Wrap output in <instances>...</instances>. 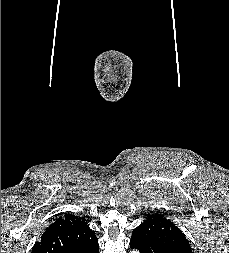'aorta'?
I'll return each mask as SVG.
<instances>
[{"label": "aorta", "mask_w": 229, "mask_h": 253, "mask_svg": "<svg viewBox=\"0 0 229 253\" xmlns=\"http://www.w3.org/2000/svg\"><path fill=\"white\" fill-rule=\"evenodd\" d=\"M132 253H138L137 251H133Z\"/></svg>", "instance_id": "762f6f07"}]
</instances>
